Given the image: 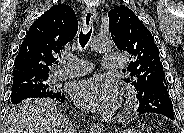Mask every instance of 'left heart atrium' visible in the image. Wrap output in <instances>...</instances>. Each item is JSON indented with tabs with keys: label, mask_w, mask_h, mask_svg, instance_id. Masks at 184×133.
<instances>
[{
	"label": "left heart atrium",
	"mask_w": 184,
	"mask_h": 133,
	"mask_svg": "<svg viewBox=\"0 0 184 133\" xmlns=\"http://www.w3.org/2000/svg\"><path fill=\"white\" fill-rule=\"evenodd\" d=\"M71 95L78 106L92 112H105L116 100V88L113 84L103 83L97 78H87L72 85Z\"/></svg>",
	"instance_id": "39dd6f15"
}]
</instances>
